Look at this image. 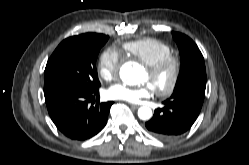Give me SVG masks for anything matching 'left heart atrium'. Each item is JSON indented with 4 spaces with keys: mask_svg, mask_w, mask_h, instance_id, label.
<instances>
[{
    "mask_svg": "<svg viewBox=\"0 0 249 165\" xmlns=\"http://www.w3.org/2000/svg\"><path fill=\"white\" fill-rule=\"evenodd\" d=\"M153 93V86L142 83L138 86H129L123 83H115L107 90V96L111 99L123 100L130 103H138Z\"/></svg>",
    "mask_w": 249,
    "mask_h": 165,
    "instance_id": "1",
    "label": "left heart atrium"
}]
</instances>
